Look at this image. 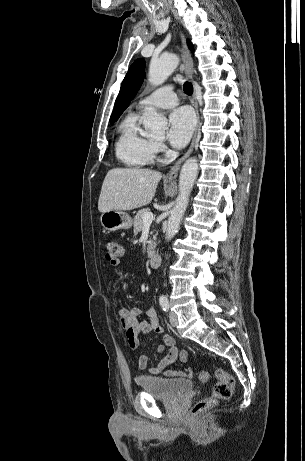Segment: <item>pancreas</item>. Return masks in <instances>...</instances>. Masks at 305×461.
I'll use <instances>...</instances> for the list:
<instances>
[{
  "label": "pancreas",
  "mask_w": 305,
  "mask_h": 461,
  "mask_svg": "<svg viewBox=\"0 0 305 461\" xmlns=\"http://www.w3.org/2000/svg\"><path fill=\"white\" fill-rule=\"evenodd\" d=\"M149 212V209L148 208H145V209H141L139 210L135 217H134V222H133V226H134V235H137L139 232H141L142 230V226H143V216L145 213ZM156 239V236H153V240ZM153 240H149L148 241V252H150L151 250L154 249L155 247V243Z\"/></svg>",
  "instance_id": "cf45deb5"
}]
</instances>
